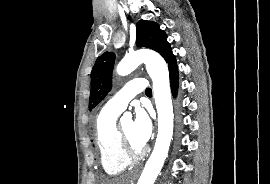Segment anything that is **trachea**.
<instances>
[{
  "label": "trachea",
  "mask_w": 270,
  "mask_h": 184,
  "mask_svg": "<svg viewBox=\"0 0 270 184\" xmlns=\"http://www.w3.org/2000/svg\"><path fill=\"white\" fill-rule=\"evenodd\" d=\"M146 94H151L152 93V90L150 88H147L146 91H145Z\"/></svg>",
  "instance_id": "1"
}]
</instances>
